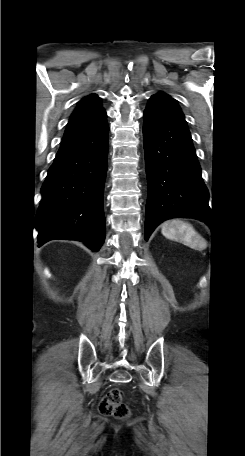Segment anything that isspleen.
<instances>
[{
  "label": "spleen",
  "instance_id": "1",
  "mask_svg": "<svg viewBox=\"0 0 245 456\" xmlns=\"http://www.w3.org/2000/svg\"><path fill=\"white\" fill-rule=\"evenodd\" d=\"M161 232L166 238L182 241L194 249L206 246V242L195 231L193 226L180 219H172L164 222L161 227Z\"/></svg>",
  "mask_w": 245,
  "mask_h": 456
}]
</instances>
